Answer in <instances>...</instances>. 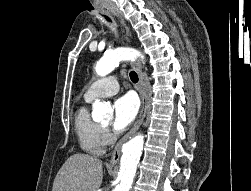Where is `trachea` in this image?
<instances>
[{"label":"trachea","mask_w":251,"mask_h":191,"mask_svg":"<svg viewBox=\"0 0 251 191\" xmlns=\"http://www.w3.org/2000/svg\"><path fill=\"white\" fill-rule=\"evenodd\" d=\"M107 21L111 22L109 17H105ZM130 79L133 83H137L138 82V75L135 71H131L130 74Z\"/></svg>","instance_id":"trachea-1"}]
</instances>
